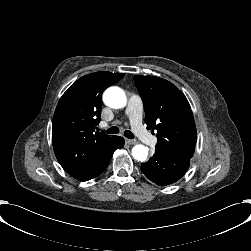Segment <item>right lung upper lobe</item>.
I'll use <instances>...</instances> for the list:
<instances>
[{"label":"right lung upper lobe","mask_w":251,"mask_h":251,"mask_svg":"<svg viewBox=\"0 0 251 251\" xmlns=\"http://www.w3.org/2000/svg\"><path fill=\"white\" fill-rule=\"evenodd\" d=\"M125 74L96 72L72 84L60 98L52 121L56 158L72 177L97 167L113 150L118 136L95 132L99 124L103 91Z\"/></svg>","instance_id":"cb5924a9"}]
</instances>
